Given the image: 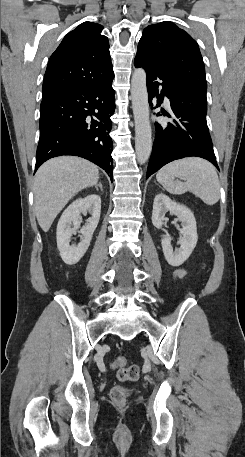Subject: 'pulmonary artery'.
<instances>
[{
    "mask_svg": "<svg viewBox=\"0 0 245 457\" xmlns=\"http://www.w3.org/2000/svg\"><path fill=\"white\" fill-rule=\"evenodd\" d=\"M161 99H162L163 101H166V100L168 99V96H167L166 94H163V95L161 96ZM162 106H163V108L167 109V108H169L170 105H169V103L165 102V103H163Z\"/></svg>",
    "mask_w": 245,
    "mask_h": 457,
    "instance_id": "e3ab8cb5",
    "label": "pulmonary artery"
}]
</instances>
